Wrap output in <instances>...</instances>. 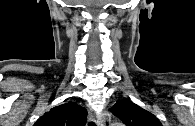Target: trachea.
<instances>
[{
  "label": "trachea",
  "mask_w": 195,
  "mask_h": 126,
  "mask_svg": "<svg viewBox=\"0 0 195 126\" xmlns=\"http://www.w3.org/2000/svg\"><path fill=\"white\" fill-rule=\"evenodd\" d=\"M89 126H95V124L93 122H90Z\"/></svg>",
  "instance_id": "obj_1"
}]
</instances>
